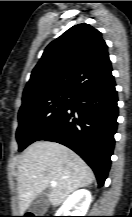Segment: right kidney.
<instances>
[{"instance_id": "obj_1", "label": "right kidney", "mask_w": 132, "mask_h": 217, "mask_svg": "<svg viewBox=\"0 0 132 217\" xmlns=\"http://www.w3.org/2000/svg\"><path fill=\"white\" fill-rule=\"evenodd\" d=\"M92 201L91 193L80 189L71 194L57 211L56 216H85ZM70 210H73L70 212Z\"/></svg>"}]
</instances>
